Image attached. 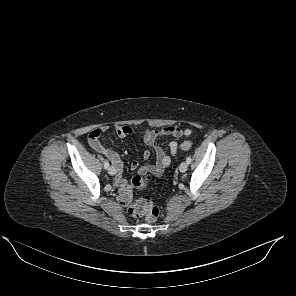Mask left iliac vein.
I'll list each match as a JSON object with an SVG mask.
<instances>
[{
    "label": "left iliac vein",
    "instance_id": "left-iliac-vein-1",
    "mask_svg": "<svg viewBox=\"0 0 296 296\" xmlns=\"http://www.w3.org/2000/svg\"><path fill=\"white\" fill-rule=\"evenodd\" d=\"M188 168V163L187 162H182L179 166L180 172H185Z\"/></svg>",
    "mask_w": 296,
    "mask_h": 296
}]
</instances>
